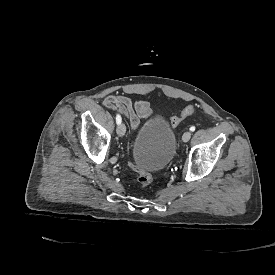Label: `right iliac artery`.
I'll return each mask as SVG.
<instances>
[{
    "label": "right iliac artery",
    "mask_w": 275,
    "mask_h": 275,
    "mask_svg": "<svg viewBox=\"0 0 275 275\" xmlns=\"http://www.w3.org/2000/svg\"><path fill=\"white\" fill-rule=\"evenodd\" d=\"M121 116L120 115H117L116 116V123L119 125L121 123Z\"/></svg>",
    "instance_id": "right-iliac-artery-1"
}]
</instances>
